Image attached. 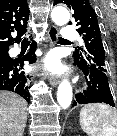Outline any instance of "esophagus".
<instances>
[{"label": "esophagus", "instance_id": "34e87169", "mask_svg": "<svg viewBox=\"0 0 117 136\" xmlns=\"http://www.w3.org/2000/svg\"><path fill=\"white\" fill-rule=\"evenodd\" d=\"M48 38H49L50 46H53L57 42V40H58V29H57L56 26L52 25L49 28ZM48 81H49V84L51 86L55 87L59 83V76L54 75V74H50L48 76Z\"/></svg>", "mask_w": 117, "mask_h": 136}]
</instances>
